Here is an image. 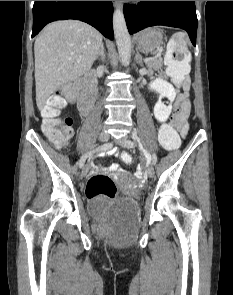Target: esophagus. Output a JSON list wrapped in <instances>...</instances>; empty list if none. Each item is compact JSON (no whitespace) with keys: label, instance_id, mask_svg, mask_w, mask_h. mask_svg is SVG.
<instances>
[{"label":"esophagus","instance_id":"1","mask_svg":"<svg viewBox=\"0 0 233 295\" xmlns=\"http://www.w3.org/2000/svg\"><path fill=\"white\" fill-rule=\"evenodd\" d=\"M115 7H122V1H113Z\"/></svg>","mask_w":233,"mask_h":295}]
</instances>
